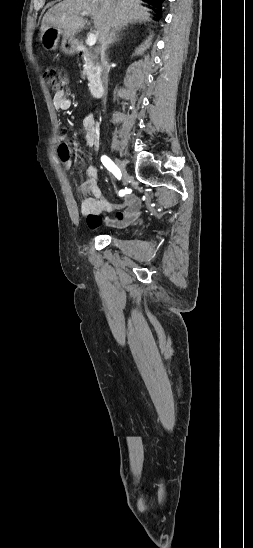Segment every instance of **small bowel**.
<instances>
[{"label":"small bowel","instance_id":"c3829d8e","mask_svg":"<svg viewBox=\"0 0 253 548\" xmlns=\"http://www.w3.org/2000/svg\"><path fill=\"white\" fill-rule=\"evenodd\" d=\"M56 109L66 111L70 109L72 100L68 94L61 90L56 92L53 97ZM85 143L88 150H91L97 142V128L92 114H89L84 123ZM58 152L62 164L66 169L73 165L69 154H64L62 148L64 144L60 139ZM88 179L79 186V192L83 196L80 206V212L87 217L88 226L91 229H97L104 221L111 227H123L134 222L141 214V200L135 194L128 195L123 202L115 204L104 197L103 189L99 183L98 170L94 166L87 168ZM116 211L115 218L105 217L103 215Z\"/></svg>","mask_w":253,"mask_h":548}]
</instances>
